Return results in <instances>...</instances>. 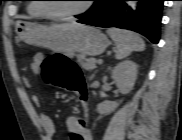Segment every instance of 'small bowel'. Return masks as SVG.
<instances>
[{
  "label": "small bowel",
  "instance_id": "obj_1",
  "mask_svg": "<svg viewBox=\"0 0 182 140\" xmlns=\"http://www.w3.org/2000/svg\"><path fill=\"white\" fill-rule=\"evenodd\" d=\"M43 62V54H36L30 64L31 73H39ZM25 82L27 85H30V79L28 77L25 78ZM32 101L36 106H40V99L37 95L32 96ZM39 122L44 131L46 140H53L55 134V124L52 118L45 113H41L39 115ZM66 126L71 135L76 132H81L83 135V140H93L90 130L87 127L81 128L79 125V121L76 117L67 118Z\"/></svg>",
  "mask_w": 182,
  "mask_h": 140
}]
</instances>
